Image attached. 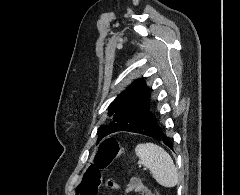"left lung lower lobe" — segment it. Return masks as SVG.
I'll use <instances>...</instances> for the list:
<instances>
[{"instance_id": "left-lung-lower-lobe-1", "label": "left lung lower lobe", "mask_w": 240, "mask_h": 195, "mask_svg": "<svg viewBox=\"0 0 240 195\" xmlns=\"http://www.w3.org/2000/svg\"><path fill=\"white\" fill-rule=\"evenodd\" d=\"M121 131H129L151 136L163 141L168 147L172 148V143L165 136L161 128L157 125L155 116L151 114L149 105Z\"/></svg>"}]
</instances>
